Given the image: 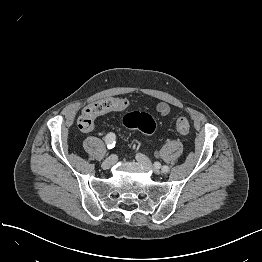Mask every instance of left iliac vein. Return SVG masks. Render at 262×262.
<instances>
[{"instance_id": "obj_1", "label": "left iliac vein", "mask_w": 262, "mask_h": 262, "mask_svg": "<svg viewBox=\"0 0 262 262\" xmlns=\"http://www.w3.org/2000/svg\"><path fill=\"white\" fill-rule=\"evenodd\" d=\"M136 160L142 164L144 167L147 169L152 170L156 174H160V167L159 164L153 165L151 161L143 154H137L136 155Z\"/></svg>"}]
</instances>
